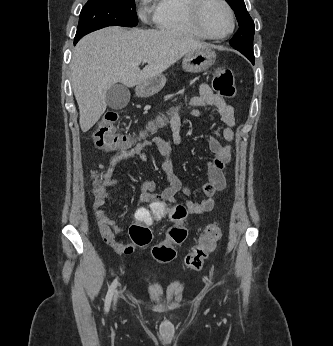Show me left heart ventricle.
Listing matches in <instances>:
<instances>
[{
  "mask_svg": "<svg viewBox=\"0 0 333 346\" xmlns=\"http://www.w3.org/2000/svg\"><path fill=\"white\" fill-rule=\"evenodd\" d=\"M203 23L211 33L222 35L230 28V18L224 6L211 0L205 6L202 13Z\"/></svg>",
  "mask_w": 333,
  "mask_h": 346,
  "instance_id": "left-heart-ventricle-1",
  "label": "left heart ventricle"
}]
</instances>
